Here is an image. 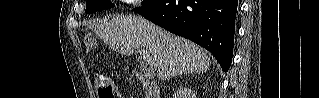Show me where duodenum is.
Returning a JSON list of instances; mask_svg holds the SVG:
<instances>
[{
	"label": "duodenum",
	"instance_id": "obj_1",
	"mask_svg": "<svg viewBox=\"0 0 319 98\" xmlns=\"http://www.w3.org/2000/svg\"><path fill=\"white\" fill-rule=\"evenodd\" d=\"M132 75L140 79L144 91L146 93V98H160V88L156 81L147 78L137 70L131 71Z\"/></svg>",
	"mask_w": 319,
	"mask_h": 98
}]
</instances>
